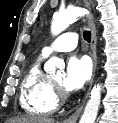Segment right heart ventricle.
Listing matches in <instances>:
<instances>
[{"label": "right heart ventricle", "instance_id": "e07e8e85", "mask_svg": "<svg viewBox=\"0 0 118 123\" xmlns=\"http://www.w3.org/2000/svg\"><path fill=\"white\" fill-rule=\"evenodd\" d=\"M44 56L37 58L26 71L20 86V105L29 114L45 116L58 107L52 81L42 71Z\"/></svg>", "mask_w": 118, "mask_h": 123}]
</instances>
